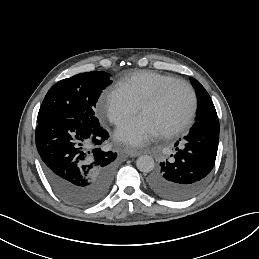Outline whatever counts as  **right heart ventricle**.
Listing matches in <instances>:
<instances>
[{
  "label": "right heart ventricle",
  "instance_id": "e07e8e85",
  "mask_svg": "<svg viewBox=\"0 0 259 259\" xmlns=\"http://www.w3.org/2000/svg\"><path fill=\"white\" fill-rule=\"evenodd\" d=\"M172 78L174 77L170 74L140 71L121 80L118 88L140 105L145 99L151 97L163 82Z\"/></svg>",
  "mask_w": 259,
  "mask_h": 259
}]
</instances>
